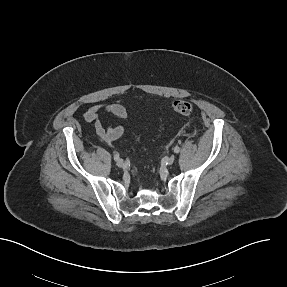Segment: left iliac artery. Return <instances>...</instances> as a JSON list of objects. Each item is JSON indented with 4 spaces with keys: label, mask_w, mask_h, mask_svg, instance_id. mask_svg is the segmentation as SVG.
<instances>
[{
    "label": "left iliac artery",
    "mask_w": 287,
    "mask_h": 287,
    "mask_svg": "<svg viewBox=\"0 0 287 287\" xmlns=\"http://www.w3.org/2000/svg\"><path fill=\"white\" fill-rule=\"evenodd\" d=\"M179 151H180V148H179L178 146H175L174 152H175V153H179Z\"/></svg>",
    "instance_id": "44dca946"
}]
</instances>
